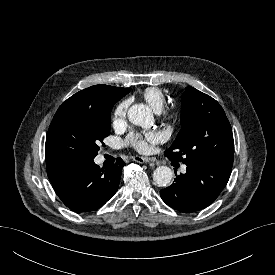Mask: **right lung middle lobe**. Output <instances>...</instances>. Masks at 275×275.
Listing matches in <instances>:
<instances>
[{
  "label": "right lung middle lobe",
  "mask_w": 275,
  "mask_h": 275,
  "mask_svg": "<svg viewBox=\"0 0 275 275\" xmlns=\"http://www.w3.org/2000/svg\"><path fill=\"white\" fill-rule=\"evenodd\" d=\"M113 105L101 111H83L53 119L46 137V163L93 160L99 143L110 134Z\"/></svg>",
  "instance_id": "right-lung-middle-lobe-1"
}]
</instances>
